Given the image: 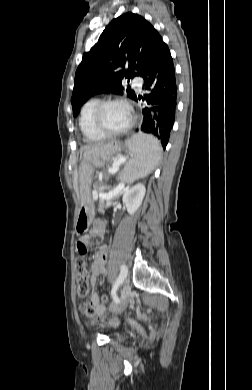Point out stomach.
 Returning a JSON list of instances; mask_svg holds the SVG:
<instances>
[{
  "label": "stomach",
  "mask_w": 252,
  "mask_h": 390,
  "mask_svg": "<svg viewBox=\"0 0 252 390\" xmlns=\"http://www.w3.org/2000/svg\"><path fill=\"white\" fill-rule=\"evenodd\" d=\"M121 151L117 142H111L98 149L87 150L79 168L80 207L76 219V228L85 230L90 226L95 216V207L91 199L90 187L94 171L102 168L106 162Z\"/></svg>",
  "instance_id": "1"
}]
</instances>
